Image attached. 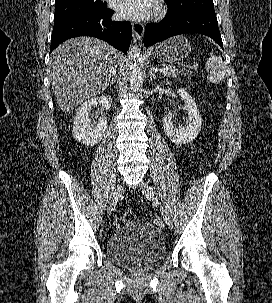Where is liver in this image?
<instances>
[{"label":"liver","mask_w":272,"mask_h":303,"mask_svg":"<svg viewBox=\"0 0 272 303\" xmlns=\"http://www.w3.org/2000/svg\"><path fill=\"white\" fill-rule=\"evenodd\" d=\"M121 54L106 42L77 37L60 44L49 61L52 89L66 112L103 92L116 73Z\"/></svg>","instance_id":"1"}]
</instances>
